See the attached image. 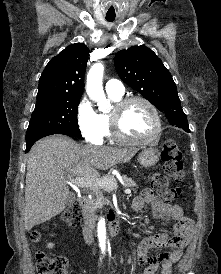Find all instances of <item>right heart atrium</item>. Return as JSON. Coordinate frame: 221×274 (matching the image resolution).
<instances>
[{"label":"right heart atrium","mask_w":221,"mask_h":274,"mask_svg":"<svg viewBox=\"0 0 221 274\" xmlns=\"http://www.w3.org/2000/svg\"><path fill=\"white\" fill-rule=\"evenodd\" d=\"M76 116L83 137L90 143H100L104 137V125L87 97L78 103Z\"/></svg>","instance_id":"obj_1"}]
</instances>
